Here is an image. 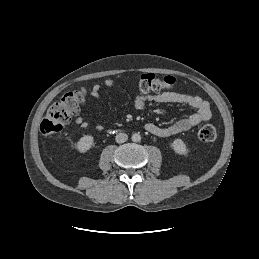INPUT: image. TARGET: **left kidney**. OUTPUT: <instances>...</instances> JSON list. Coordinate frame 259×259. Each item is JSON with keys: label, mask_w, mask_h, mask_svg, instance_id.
Segmentation results:
<instances>
[{"label": "left kidney", "mask_w": 259, "mask_h": 259, "mask_svg": "<svg viewBox=\"0 0 259 259\" xmlns=\"http://www.w3.org/2000/svg\"><path fill=\"white\" fill-rule=\"evenodd\" d=\"M172 148L175 151V153L180 155H186L188 153V149L186 147V144L183 140L177 138L172 143Z\"/></svg>", "instance_id": "left-kidney-1"}]
</instances>
